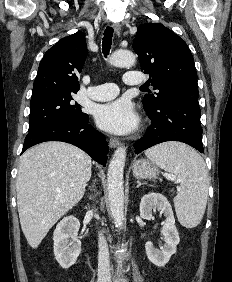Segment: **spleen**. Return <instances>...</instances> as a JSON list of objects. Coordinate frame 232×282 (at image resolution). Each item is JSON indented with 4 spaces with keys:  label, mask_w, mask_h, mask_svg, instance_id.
<instances>
[{
    "label": "spleen",
    "mask_w": 232,
    "mask_h": 282,
    "mask_svg": "<svg viewBox=\"0 0 232 282\" xmlns=\"http://www.w3.org/2000/svg\"><path fill=\"white\" fill-rule=\"evenodd\" d=\"M145 155L178 178L180 189L174 198L178 221L186 228L196 227L203 218L208 197V171L203 158L177 142L157 145Z\"/></svg>",
    "instance_id": "spleen-1"
}]
</instances>
